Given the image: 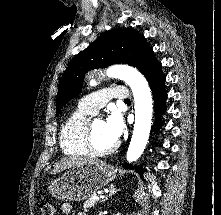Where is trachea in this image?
<instances>
[{
	"instance_id": "obj_1",
	"label": "trachea",
	"mask_w": 221,
	"mask_h": 215,
	"mask_svg": "<svg viewBox=\"0 0 221 215\" xmlns=\"http://www.w3.org/2000/svg\"><path fill=\"white\" fill-rule=\"evenodd\" d=\"M130 100L129 99H125V102H129Z\"/></svg>"
}]
</instances>
